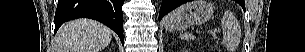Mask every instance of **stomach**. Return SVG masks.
<instances>
[{"label":"stomach","mask_w":305,"mask_h":52,"mask_svg":"<svg viewBox=\"0 0 305 52\" xmlns=\"http://www.w3.org/2000/svg\"><path fill=\"white\" fill-rule=\"evenodd\" d=\"M212 4L205 0H194L183 4L164 18V26L170 31H183L193 25H201L213 16Z\"/></svg>","instance_id":"0dacf381"}]
</instances>
